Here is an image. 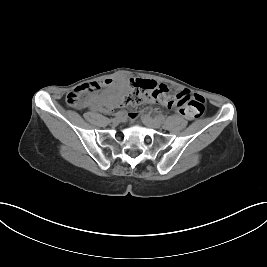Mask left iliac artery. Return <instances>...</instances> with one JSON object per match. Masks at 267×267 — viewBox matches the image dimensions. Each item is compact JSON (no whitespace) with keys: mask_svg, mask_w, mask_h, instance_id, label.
<instances>
[{"mask_svg":"<svg viewBox=\"0 0 267 267\" xmlns=\"http://www.w3.org/2000/svg\"><path fill=\"white\" fill-rule=\"evenodd\" d=\"M156 119H157L158 121H160V122H164V120H165L164 116H162V115H157V116H156Z\"/></svg>","mask_w":267,"mask_h":267,"instance_id":"obj_1","label":"left iliac artery"}]
</instances>
